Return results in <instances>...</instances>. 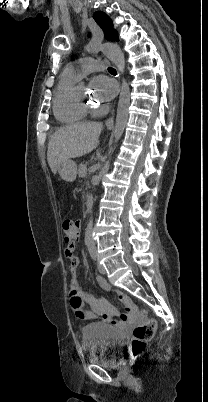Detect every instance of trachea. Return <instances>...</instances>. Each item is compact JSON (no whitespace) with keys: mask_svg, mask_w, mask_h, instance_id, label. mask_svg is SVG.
Masks as SVG:
<instances>
[{"mask_svg":"<svg viewBox=\"0 0 208 402\" xmlns=\"http://www.w3.org/2000/svg\"><path fill=\"white\" fill-rule=\"evenodd\" d=\"M108 71H109V72H116V70H115L114 68H112V67H109V68H108Z\"/></svg>","mask_w":208,"mask_h":402,"instance_id":"1","label":"trachea"}]
</instances>
